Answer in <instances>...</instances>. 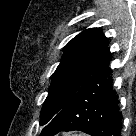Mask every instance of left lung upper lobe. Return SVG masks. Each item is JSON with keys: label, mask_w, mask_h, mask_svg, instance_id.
<instances>
[{"label": "left lung upper lobe", "mask_w": 136, "mask_h": 136, "mask_svg": "<svg viewBox=\"0 0 136 136\" xmlns=\"http://www.w3.org/2000/svg\"><path fill=\"white\" fill-rule=\"evenodd\" d=\"M108 57V41L100 28L86 29L75 36L66 45L62 61L53 75L40 125L49 123Z\"/></svg>", "instance_id": "left-lung-upper-lobe-1"}]
</instances>
